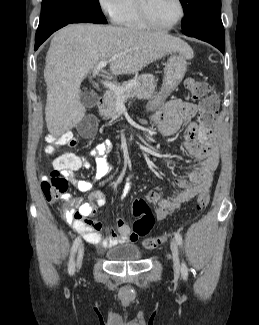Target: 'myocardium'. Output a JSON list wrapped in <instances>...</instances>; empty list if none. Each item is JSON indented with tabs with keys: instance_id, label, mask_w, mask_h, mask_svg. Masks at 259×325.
Returning a JSON list of instances; mask_svg holds the SVG:
<instances>
[{
	"instance_id": "f54148a6",
	"label": "myocardium",
	"mask_w": 259,
	"mask_h": 325,
	"mask_svg": "<svg viewBox=\"0 0 259 325\" xmlns=\"http://www.w3.org/2000/svg\"><path fill=\"white\" fill-rule=\"evenodd\" d=\"M176 2L178 5V8H179L178 17L172 24L167 25V26L158 25L151 20L149 14H148V11H147L146 0H137L138 12H139V15H140L142 21L144 22V24L147 27L154 29V30L169 31V30H172L175 27H177L185 16V6H184L183 1L176 0Z\"/></svg>"
}]
</instances>
